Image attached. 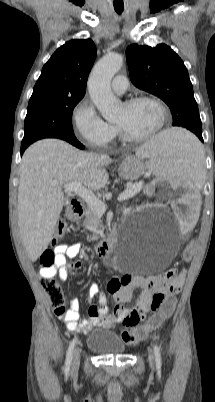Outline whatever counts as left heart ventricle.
Here are the masks:
<instances>
[{"instance_id":"left-heart-ventricle-1","label":"left heart ventricle","mask_w":215,"mask_h":402,"mask_svg":"<svg viewBox=\"0 0 215 402\" xmlns=\"http://www.w3.org/2000/svg\"><path fill=\"white\" fill-rule=\"evenodd\" d=\"M160 121V111L155 104L148 101L132 106L122 105L116 123L120 124L129 134L142 136L153 131Z\"/></svg>"}]
</instances>
